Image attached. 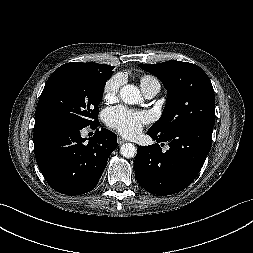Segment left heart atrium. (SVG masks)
<instances>
[{
	"mask_svg": "<svg viewBox=\"0 0 253 253\" xmlns=\"http://www.w3.org/2000/svg\"><path fill=\"white\" fill-rule=\"evenodd\" d=\"M149 120L147 112L133 111L124 106L108 109L105 114L106 123L127 137L138 135Z\"/></svg>",
	"mask_w": 253,
	"mask_h": 253,
	"instance_id": "obj_1",
	"label": "left heart atrium"
}]
</instances>
